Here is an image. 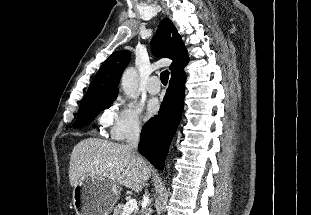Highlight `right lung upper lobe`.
Returning <instances> with one entry per match:
<instances>
[{"label": "right lung upper lobe", "mask_w": 311, "mask_h": 215, "mask_svg": "<svg viewBox=\"0 0 311 215\" xmlns=\"http://www.w3.org/2000/svg\"><path fill=\"white\" fill-rule=\"evenodd\" d=\"M151 49L154 55L173 60L170 66L172 76L183 71L189 61L186 47L168 18L160 22ZM130 58L131 53L127 50L114 52L100 67L81 103L98 97L117 96V85Z\"/></svg>", "instance_id": "obj_1"}]
</instances>
